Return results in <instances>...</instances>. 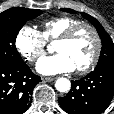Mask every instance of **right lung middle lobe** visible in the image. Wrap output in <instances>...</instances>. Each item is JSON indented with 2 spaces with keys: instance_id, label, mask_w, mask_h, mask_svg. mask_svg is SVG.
<instances>
[{
  "instance_id": "obj_1",
  "label": "right lung middle lobe",
  "mask_w": 114,
  "mask_h": 114,
  "mask_svg": "<svg viewBox=\"0 0 114 114\" xmlns=\"http://www.w3.org/2000/svg\"><path fill=\"white\" fill-rule=\"evenodd\" d=\"M41 13V10L26 8H11L0 13V65L10 66L24 62L15 47L17 34L27 20Z\"/></svg>"
}]
</instances>
